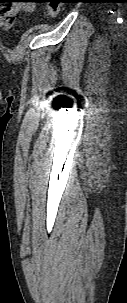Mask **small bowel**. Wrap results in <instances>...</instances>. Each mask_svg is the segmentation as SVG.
<instances>
[{"label":"small bowel","instance_id":"c3829d8e","mask_svg":"<svg viewBox=\"0 0 127 303\" xmlns=\"http://www.w3.org/2000/svg\"><path fill=\"white\" fill-rule=\"evenodd\" d=\"M33 9L34 5L31 3L10 5L7 11L0 16V22L5 29H8L14 23L15 17L21 11L29 12Z\"/></svg>","mask_w":127,"mask_h":303}]
</instances>
